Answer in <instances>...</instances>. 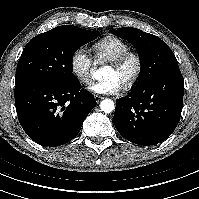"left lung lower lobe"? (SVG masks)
I'll return each instance as SVG.
<instances>
[{"label":"left lung lower lobe","mask_w":199,"mask_h":199,"mask_svg":"<svg viewBox=\"0 0 199 199\" xmlns=\"http://www.w3.org/2000/svg\"><path fill=\"white\" fill-rule=\"evenodd\" d=\"M184 81L180 69L163 73L116 101L114 125L127 140L154 145L175 130L180 120Z\"/></svg>","instance_id":"obj_1"}]
</instances>
